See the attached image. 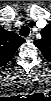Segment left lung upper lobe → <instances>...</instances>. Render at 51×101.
<instances>
[{
    "label": "left lung upper lobe",
    "mask_w": 51,
    "mask_h": 101,
    "mask_svg": "<svg viewBox=\"0 0 51 101\" xmlns=\"http://www.w3.org/2000/svg\"><path fill=\"white\" fill-rule=\"evenodd\" d=\"M41 35L42 38L35 40L34 44L41 50L44 57L51 62V24L41 30Z\"/></svg>",
    "instance_id": "5c2ea615"
}]
</instances>
